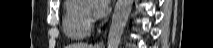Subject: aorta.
Returning a JSON list of instances; mask_svg holds the SVG:
<instances>
[{
    "label": "aorta",
    "instance_id": "762f6f07",
    "mask_svg": "<svg viewBox=\"0 0 213 48\" xmlns=\"http://www.w3.org/2000/svg\"><path fill=\"white\" fill-rule=\"evenodd\" d=\"M133 0H117L110 25L107 48H118L132 10Z\"/></svg>",
    "mask_w": 213,
    "mask_h": 48
}]
</instances>
